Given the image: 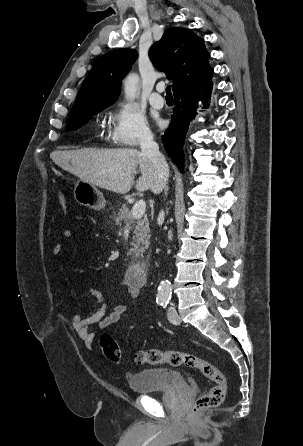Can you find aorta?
<instances>
[{
    "label": "aorta",
    "mask_w": 303,
    "mask_h": 446,
    "mask_svg": "<svg viewBox=\"0 0 303 446\" xmlns=\"http://www.w3.org/2000/svg\"><path fill=\"white\" fill-rule=\"evenodd\" d=\"M139 77L137 74H130L124 82V93L126 100H133L138 94ZM172 286L168 280H162L158 286L157 299L167 301L171 297Z\"/></svg>",
    "instance_id": "1"
}]
</instances>
